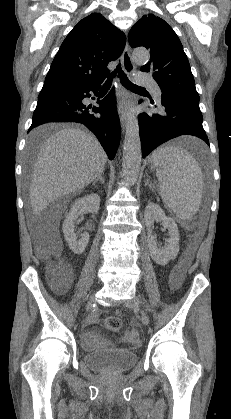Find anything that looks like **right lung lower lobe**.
Returning a JSON list of instances; mask_svg holds the SVG:
<instances>
[{
    "mask_svg": "<svg viewBox=\"0 0 231 419\" xmlns=\"http://www.w3.org/2000/svg\"><path fill=\"white\" fill-rule=\"evenodd\" d=\"M100 84L84 85L71 93L39 99L28 132L48 122L83 123L96 135L109 159L112 160L120 142V121L113 92L97 102L99 107L85 105L82 102L85 97L90 96V91L97 94Z\"/></svg>",
    "mask_w": 231,
    "mask_h": 419,
    "instance_id": "98d812e1",
    "label": "right lung lower lobe"
}]
</instances>
